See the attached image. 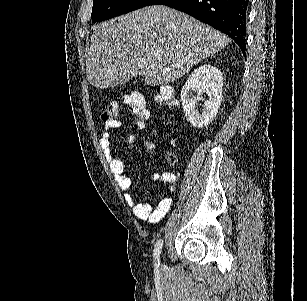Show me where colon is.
<instances>
[{
	"mask_svg": "<svg viewBox=\"0 0 307 301\" xmlns=\"http://www.w3.org/2000/svg\"><path fill=\"white\" fill-rule=\"evenodd\" d=\"M155 101L159 106L173 107L176 104L174 91L171 87L160 86L157 89ZM125 103L131 108L134 115L135 124L138 129L144 127V124L149 118V110L146 100L141 92L134 90L125 96ZM120 110L116 102H111L101 114L103 122L119 121ZM168 161L173 164L176 159L173 155L168 157Z\"/></svg>",
	"mask_w": 307,
	"mask_h": 301,
	"instance_id": "obj_1",
	"label": "colon"
}]
</instances>
